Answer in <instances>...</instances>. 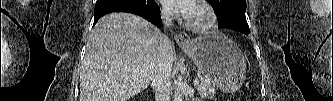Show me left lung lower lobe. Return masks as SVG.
Returning <instances> with one entry per match:
<instances>
[{"label":"left lung lower lobe","mask_w":333,"mask_h":101,"mask_svg":"<svg viewBox=\"0 0 333 101\" xmlns=\"http://www.w3.org/2000/svg\"><path fill=\"white\" fill-rule=\"evenodd\" d=\"M235 1V3L239 6V7H245L246 8V1L245 0H233ZM211 3V5L213 6L216 14H217V17H218V23H219V28H228V29H232V30H235V31H239L241 33H244V34H249L250 33V30H249V27H248V24H247V21H241V20H238V19H235V20H231L230 22L231 23H226V21L220 16L219 14V8L221 6V4L224 3V0H217V5L214 6V3L215 1H212V2H209Z\"/></svg>","instance_id":"0a47b994"}]
</instances>
